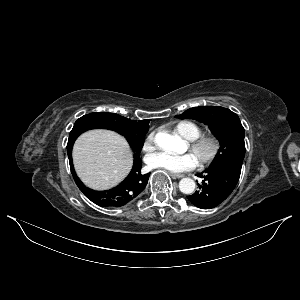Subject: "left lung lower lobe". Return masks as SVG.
<instances>
[{
  "label": "left lung lower lobe",
  "instance_id": "1",
  "mask_svg": "<svg viewBox=\"0 0 300 300\" xmlns=\"http://www.w3.org/2000/svg\"><path fill=\"white\" fill-rule=\"evenodd\" d=\"M241 164L226 161L206 170V175L200 173L205 181L200 190L188 196L194 206L201 209H211L221 204L234 190L241 173Z\"/></svg>",
  "mask_w": 300,
  "mask_h": 300
}]
</instances>
